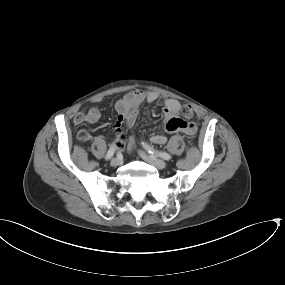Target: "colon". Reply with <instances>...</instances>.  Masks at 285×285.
Segmentation results:
<instances>
[{"label": "colon", "instance_id": "colon-1", "mask_svg": "<svg viewBox=\"0 0 285 285\" xmlns=\"http://www.w3.org/2000/svg\"><path fill=\"white\" fill-rule=\"evenodd\" d=\"M181 113H182L183 117H184L186 120H188V119H190V118L193 116L194 110H193V108H192L191 105H184V106L182 107V109H181ZM193 128H194L193 125H190V126L187 128V130H188V132H189L190 134H193V132H194V129H193ZM82 139H83L84 141H86V140H87V136L84 135V136L82 137Z\"/></svg>", "mask_w": 285, "mask_h": 285}]
</instances>
